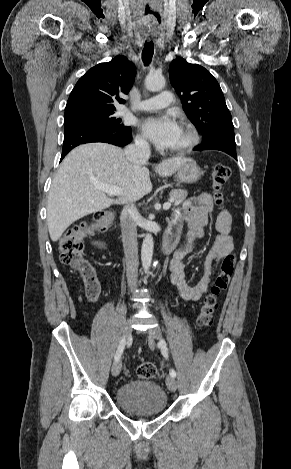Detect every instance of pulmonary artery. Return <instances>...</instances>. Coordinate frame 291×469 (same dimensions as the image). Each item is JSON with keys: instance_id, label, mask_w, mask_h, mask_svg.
Instances as JSON below:
<instances>
[{"instance_id": "1", "label": "pulmonary artery", "mask_w": 291, "mask_h": 469, "mask_svg": "<svg viewBox=\"0 0 291 469\" xmlns=\"http://www.w3.org/2000/svg\"><path fill=\"white\" fill-rule=\"evenodd\" d=\"M173 96L169 91H162L158 95L142 100L136 106L137 110L152 111L168 107L172 104Z\"/></svg>"}]
</instances>
